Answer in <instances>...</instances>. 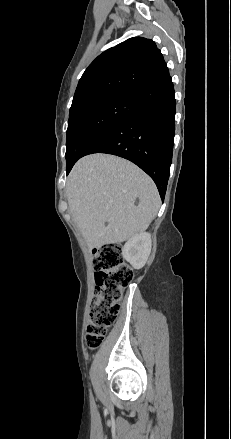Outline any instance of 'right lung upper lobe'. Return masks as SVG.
Wrapping results in <instances>:
<instances>
[{
	"label": "right lung upper lobe",
	"instance_id": "obj_1",
	"mask_svg": "<svg viewBox=\"0 0 231 439\" xmlns=\"http://www.w3.org/2000/svg\"><path fill=\"white\" fill-rule=\"evenodd\" d=\"M167 75V65L155 43L141 37L130 38L106 50L89 65L78 83L71 108L106 94L136 93Z\"/></svg>",
	"mask_w": 231,
	"mask_h": 439
}]
</instances>
